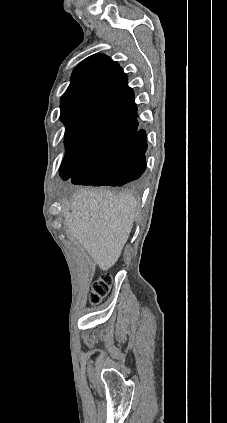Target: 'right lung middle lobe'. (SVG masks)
Returning <instances> with one entry per match:
<instances>
[{"label":"right lung middle lobe","instance_id":"right-lung-middle-lobe-1","mask_svg":"<svg viewBox=\"0 0 227 423\" xmlns=\"http://www.w3.org/2000/svg\"><path fill=\"white\" fill-rule=\"evenodd\" d=\"M90 156L91 155L76 153L74 151L67 149L64 162L68 166L69 177H71L77 171V169L86 161V159Z\"/></svg>","mask_w":227,"mask_h":423}]
</instances>
